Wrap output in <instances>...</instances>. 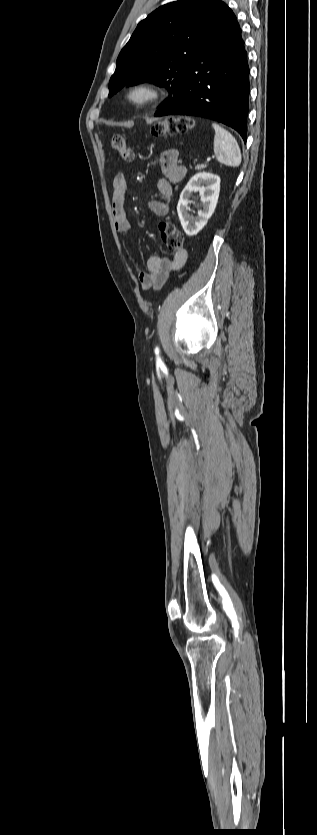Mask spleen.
<instances>
[{
  "mask_svg": "<svg viewBox=\"0 0 317 835\" xmlns=\"http://www.w3.org/2000/svg\"><path fill=\"white\" fill-rule=\"evenodd\" d=\"M215 130L214 154L217 161L230 167L241 164V152L235 138L217 123H212Z\"/></svg>",
  "mask_w": 317,
  "mask_h": 835,
  "instance_id": "obj_1",
  "label": "spleen"
}]
</instances>
